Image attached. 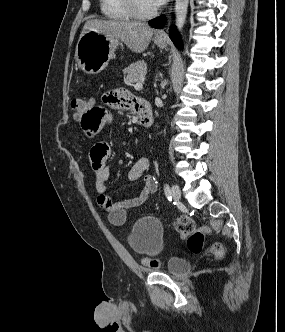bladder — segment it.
I'll return each mask as SVG.
<instances>
[{
	"mask_svg": "<svg viewBox=\"0 0 285 332\" xmlns=\"http://www.w3.org/2000/svg\"><path fill=\"white\" fill-rule=\"evenodd\" d=\"M164 228L162 223L152 216L138 219L131 227L127 242L130 249L137 255L146 256L157 253L163 243ZM190 268L187 261L181 258H170L167 271L171 275H182Z\"/></svg>",
	"mask_w": 285,
	"mask_h": 332,
	"instance_id": "1",
	"label": "bladder"
}]
</instances>
